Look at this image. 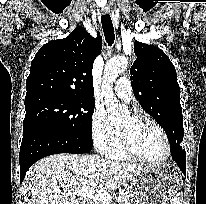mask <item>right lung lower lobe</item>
I'll list each match as a JSON object with an SVG mask.
<instances>
[{
	"label": "right lung lower lobe",
	"mask_w": 206,
	"mask_h": 204,
	"mask_svg": "<svg viewBox=\"0 0 206 204\" xmlns=\"http://www.w3.org/2000/svg\"><path fill=\"white\" fill-rule=\"evenodd\" d=\"M91 149L92 143L72 134L43 125L28 127L23 131L20 147V182L30 166L43 157L58 153L82 154Z\"/></svg>",
	"instance_id": "98d812e1"
}]
</instances>
